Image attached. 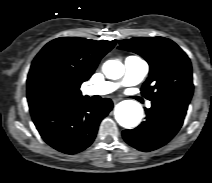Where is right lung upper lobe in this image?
<instances>
[{"mask_svg":"<svg viewBox=\"0 0 212 183\" xmlns=\"http://www.w3.org/2000/svg\"><path fill=\"white\" fill-rule=\"evenodd\" d=\"M115 44L116 40L76 37H60L46 44L34 58L27 78L30 111L57 100H87L80 85L92 76L100 59Z\"/></svg>","mask_w":212,"mask_h":183,"instance_id":"right-lung-upper-lobe-1","label":"right lung upper lobe"}]
</instances>
